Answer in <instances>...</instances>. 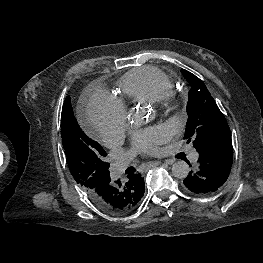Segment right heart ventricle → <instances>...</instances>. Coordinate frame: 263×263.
<instances>
[{
	"instance_id": "obj_1",
	"label": "right heart ventricle",
	"mask_w": 263,
	"mask_h": 263,
	"mask_svg": "<svg viewBox=\"0 0 263 263\" xmlns=\"http://www.w3.org/2000/svg\"><path fill=\"white\" fill-rule=\"evenodd\" d=\"M117 85L121 93L118 101L124 107L125 100L133 103H153L174 90L171 79L154 66H143L127 71Z\"/></svg>"
}]
</instances>
